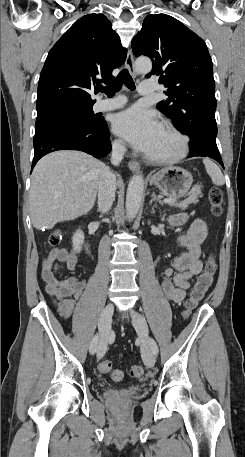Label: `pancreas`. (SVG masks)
<instances>
[{
    "mask_svg": "<svg viewBox=\"0 0 245 457\" xmlns=\"http://www.w3.org/2000/svg\"><path fill=\"white\" fill-rule=\"evenodd\" d=\"M198 194H202L200 184L192 186L188 198L180 200V202H170V206H178V208H182V210H184V208H187L188 204H191V202H198Z\"/></svg>",
    "mask_w": 245,
    "mask_h": 457,
    "instance_id": "cf45deb5",
    "label": "pancreas"
}]
</instances>
